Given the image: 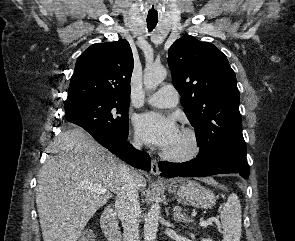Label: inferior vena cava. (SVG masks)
I'll return each instance as SVG.
<instances>
[{"label":"inferior vena cava","instance_id":"obj_1","mask_svg":"<svg viewBox=\"0 0 295 241\" xmlns=\"http://www.w3.org/2000/svg\"><path fill=\"white\" fill-rule=\"evenodd\" d=\"M133 146L140 149L142 143L134 139ZM118 183L120 190L117 193L115 208L124 229L125 241L139 240V194L136 185L135 171L130 170L127 165H121L118 169Z\"/></svg>","mask_w":295,"mask_h":241}]
</instances>
